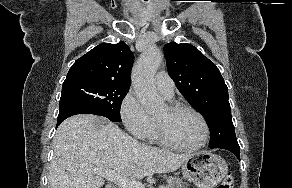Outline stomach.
<instances>
[{"label": "stomach", "instance_id": "obj_1", "mask_svg": "<svg viewBox=\"0 0 292 188\" xmlns=\"http://www.w3.org/2000/svg\"><path fill=\"white\" fill-rule=\"evenodd\" d=\"M183 176L198 188H214L225 177L226 161L211 151H199L182 164Z\"/></svg>", "mask_w": 292, "mask_h": 188}]
</instances>
